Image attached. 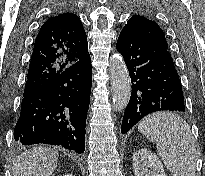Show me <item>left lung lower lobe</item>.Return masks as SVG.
<instances>
[{
	"label": "left lung lower lobe",
	"mask_w": 205,
	"mask_h": 176,
	"mask_svg": "<svg viewBox=\"0 0 205 176\" xmlns=\"http://www.w3.org/2000/svg\"><path fill=\"white\" fill-rule=\"evenodd\" d=\"M117 50L125 60L132 83L122 134L150 113L185 111L181 82L168 49L123 28L117 40Z\"/></svg>",
	"instance_id": "1"
}]
</instances>
